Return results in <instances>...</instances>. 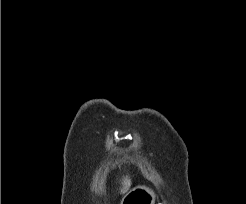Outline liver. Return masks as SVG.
Returning <instances> with one entry per match:
<instances>
[{"label":"liver","mask_w":246,"mask_h":204,"mask_svg":"<svg viewBox=\"0 0 246 204\" xmlns=\"http://www.w3.org/2000/svg\"><path fill=\"white\" fill-rule=\"evenodd\" d=\"M122 188H121V193H126L129 189H130V186H131V179L126 176L123 178L122 180Z\"/></svg>","instance_id":"6515ba94"}]
</instances>
